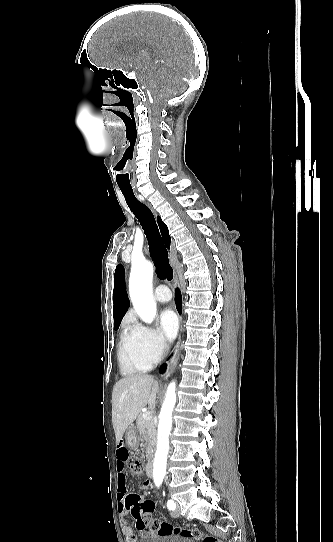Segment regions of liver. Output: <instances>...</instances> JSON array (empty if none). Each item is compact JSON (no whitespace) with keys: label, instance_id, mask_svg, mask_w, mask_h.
Returning a JSON list of instances; mask_svg holds the SVG:
<instances>
[{"label":"liver","instance_id":"1","mask_svg":"<svg viewBox=\"0 0 333 542\" xmlns=\"http://www.w3.org/2000/svg\"><path fill=\"white\" fill-rule=\"evenodd\" d=\"M159 384L153 376L130 374L116 382L112 392V424L117 444L142 408L155 410Z\"/></svg>","mask_w":333,"mask_h":542}]
</instances>
